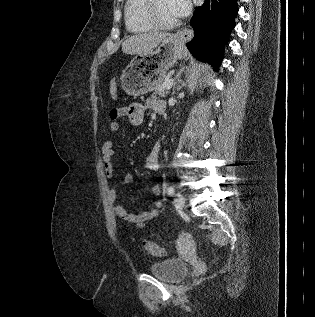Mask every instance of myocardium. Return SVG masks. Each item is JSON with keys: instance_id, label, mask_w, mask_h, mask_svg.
<instances>
[{"instance_id": "myocardium-1", "label": "myocardium", "mask_w": 315, "mask_h": 317, "mask_svg": "<svg viewBox=\"0 0 315 317\" xmlns=\"http://www.w3.org/2000/svg\"><path fill=\"white\" fill-rule=\"evenodd\" d=\"M156 2L157 0H145L143 11H144V17L146 21L153 28L161 29V30H168V29L177 27L180 24L179 19L170 23H163L159 21L156 15Z\"/></svg>"}]
</instances>
